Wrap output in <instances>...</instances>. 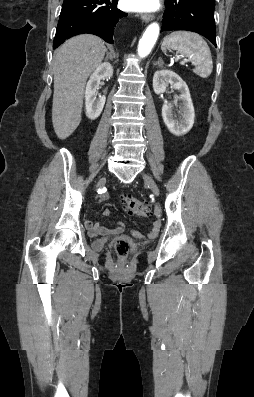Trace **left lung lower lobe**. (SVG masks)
Instances as JSON below:
<instances>
[{"label": "left lung lower lobe", "instance_id": "0a47b994", "mask_svg": "<svg viewBox=\"0 0 254 397\" xmlns=\"http://www.w3.org/2000/svg\"><path fill=\"white\" fill-rule=\"evenodd\" d=\"M161 32L188 30L199 33L216 45L215 0H167Z\"/></svg>", "mask_w": 254, "mask_h": 397}]
</instances>
